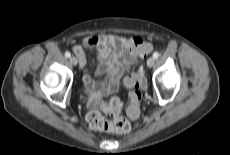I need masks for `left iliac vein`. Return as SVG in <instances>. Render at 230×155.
I'll list each match as a JSON object with an SVG mask.
<instances>
[{
  "label": "left iliac vein",
  "mask_w": 230,
  "mask_h": 155,
  "mask_svg": "<svg viewBox=\"0 0 230 155\" xmlns=\"http://www.w3.org/2000/svg\"><path fill=\"white\" fill-rule=\"evenodd\" d=\"M155 63V59L153 57L148 58L147 60V66L152 67Z\"/></svg>",
  "instance_id": "left-iliac-vein-1"
}]
</instances>
